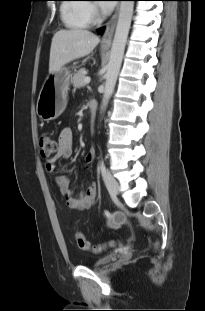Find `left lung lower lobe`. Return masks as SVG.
Wrapping results in <instances>:
<instances>
[{
    "label": "left lung lower lobe",
    "instance_id": "0a47b994",
    "mask_svg": "<svg viewBox=\"0 0 205 311\" xmlns=\"http://www.w3.org/2000/svg\"><path fill=\"white\" fill-rule=\"evenodd\" d=\"M103 30H104V28H100V29H98V32H99V33H102Z\"/></svg>",
    "mask_w": 205,
    "mask_h": 311
}]
</instances>
